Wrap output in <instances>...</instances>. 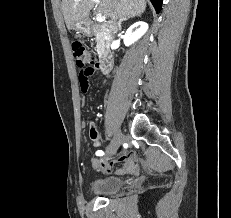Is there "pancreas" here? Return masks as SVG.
I'll use <instances>...</instances> for the list:
<instances>
[{
	"label": "pancreas",
	"mask_w": 231,
	"mask_h": 218,
	"mask_svg": "<svg viewBox=\"0 0 231 218\" xmlns=\"http://www.w3.org/2000/svg\"><path fill=\"white\" fill-rule=\"evenodd\" d=\"M96 41H97V48H101V44L103 43V35L97 31L96 32Z\"/></svg>",
	"instance_id": "cf45deb5"
}]
</instances>
